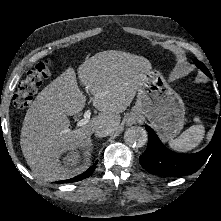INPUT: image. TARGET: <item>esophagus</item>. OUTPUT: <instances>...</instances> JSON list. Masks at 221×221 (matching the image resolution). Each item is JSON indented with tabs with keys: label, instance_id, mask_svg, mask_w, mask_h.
Here are the masks:
<instances>
[{
	"label": "esophagus",
	"instance_id": "34e87169",
	"mask_svg": "<svg viewBox=\"0 0 221 221\" xmlns=\"http://www.w3.org/2000/svg\"><path fill=\"white\" fill-rule=\"evenodd\" d=\"M137 120H138L137 114L132 113V114H130V115L128 116V118H127V120H126V124H127L128 126H131V125L135 124V123L137 122Z\"/></svg>",
	"mask_w": 221,
	"mask_h": 221
}]
</instances>
